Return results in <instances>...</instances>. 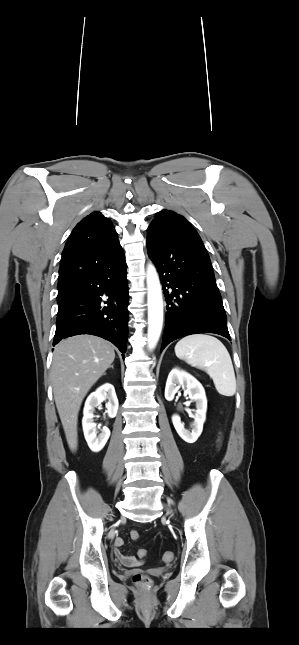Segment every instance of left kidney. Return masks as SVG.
<instances>
[{
  "label": "left kidney",
  "mask_w": 299,
  "mask_h": 645,
  "mask_svg": "<svg viewBox=\"0 0 299 645\" xmlns=\"http://www.w3.org/2000/svg\"><path fill=\"white\" fill-rule=\"evenodd\" d=\"M180 387L184 388L190 399L196 403L195 414L192 415L194 418L192 430L189 431L185 429L184 424L181 422L178 415L172 416V422L178 435L184 441L194 443L201 435L203 424L206 419L207 399L205 390L200 382H198V380H196L192 375L179 370L178 368H174L171 370L167 378L165 387L166 400L172 401Z\"/></svg>",
  "instance_id": "left-kidney-1"
}]
</instances>
